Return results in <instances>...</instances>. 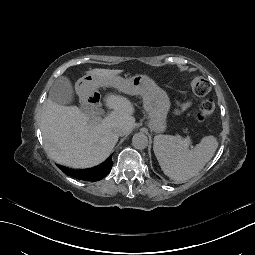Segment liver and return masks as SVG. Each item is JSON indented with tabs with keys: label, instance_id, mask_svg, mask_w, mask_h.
<instances>
[{
	"label": "liver",
	"instance_id": "obj_1",
	"mask_svg": "<svg viewBox=\"0 0 255 255\" xmlns=\"http://www.w3.org/2000/svg\"><path fill=\"white\" fill-rule=\"evenodd\" d=\"M122 70L92 69L87 71L100 82L115 88L122 86L118 76ZM150 94L163 103H169L165 91L153 83ZM106 106L112 113L100 123L89 121L86 114L75 106H63L50 98L41 114L40 129L44 148L56 163L72 168H91L105 161L115 144L118 135L113 131L117 124H123L131 131L135 124L132 116L134 107L125 97L108 94Z\"/></svg>",
	"mask_w": 255,
	"mask_h": 255
}]
</instances>
